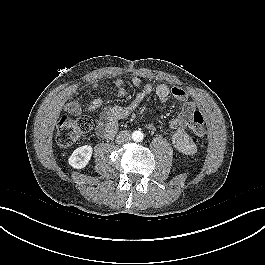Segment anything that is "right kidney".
Returning <instances> with one entry per match:
<instances>
[{
  "label": "right kidney",
  "mask_w": 265,
  "mask_h": 265,
  "mask_svg": "<svg viewBox=\"0 0 265 265\" xmlns=\"http://www.w3.org/2000/svg\"><path fill=\"white\" fill-rule=\"evenodd\" d=\"M92 153L93 148L90 145L78 147L69 157L68 163L75 169H82L89 163Z\"/></svg>",
  "instance_id": "right-kidney-1"
}]
</instances>
